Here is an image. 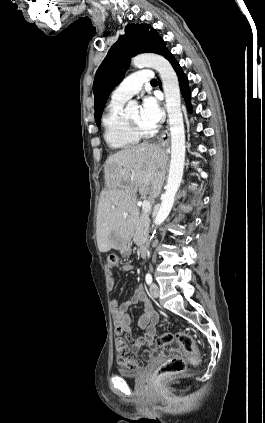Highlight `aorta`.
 Listing matches in <instances>:
<instances>
[{
	"instance_id": "1",
	"label": "aorta",
	"mask_w": 265,
	"mask_h": 423,
	"mask_svg": "<svg viewBox=\"0 0 265 423\" xmlns=\"http://www.w3.org/2000/svg\"><path fill=\"white\" fill-rule=\"evenodd\" d=\"M138 68L149 67L158 71L166 99V109L171 133V162L166 191L161 206L154 218V225L159 226L168 217L174 204L175 195L182 181L185 162V131L181 112V98L178 77L167 59L157 54H140L131 61ZM137 106L134 101L128 102L126 111Z\"/></svg>"
}]
</instances>
